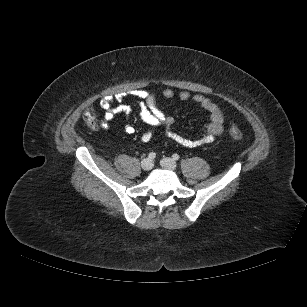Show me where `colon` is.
<instances>
[{"label":"colon","mask_w":307,"mask_h":307,"mask_svg":"<svg viewBox=\"0 0 307 307\" xmlns=\"http://www.w3.org/2000/svg\"><path fill=\"white\" fill-rule=\"evenodd\" d=\"M84 119L85 122L93 127L96 125V117H95V113L93 111V109L88 108L84 114ZM228 130L229 133L231 135V137L235 140V141H241L243 139V135L242 132L240 130V128L233 122H231L228 126ZM152 133L150 131H146L142 134V141L147 142L151 139Z\"/></svg>","instance_id":"obj_1"}]
</instances>
